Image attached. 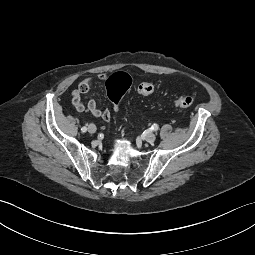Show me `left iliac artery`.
Listing matches in <instances>:
<instances>
[{
	"instance_id": "left-iliac-artery-1",
	"label": "left iliac artery",
	"mask_w": 255,
	"mask_h": 255,
	"mask_svg": "<svg viewBox=\"0 0 255 255\" xmlns=\"http://www.w3.org/2000/svg\"><path fill=\"white\" fill-rule=\"evenodd\" d=\"M151 128L152 130L157 131L159 127L157 124H153Z\"/></svg>"
}]
</instances>
